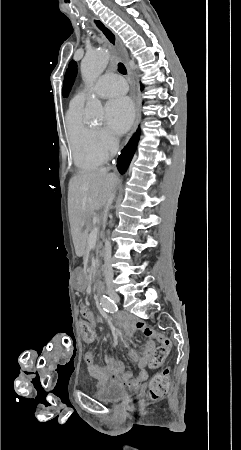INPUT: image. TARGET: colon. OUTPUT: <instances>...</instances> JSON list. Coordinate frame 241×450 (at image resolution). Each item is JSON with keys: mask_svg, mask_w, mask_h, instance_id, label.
<instances>
[{"mask_svg": "<svg viewBox=\"0 0 241 450\" xmlns=\"http://www.w3.org/2000/svg\"><path fill=\"white\" fill-rule=\"evenodd\" d=\"M97 337L98 334L93 331V326L91 324H86L79 327V340L84 342L87 347H90L93 344V340L97 339ZM168 353L169 350L167 347H159L153 357V368H159L162 360L168 355ZM169 381V370L167 368L153 377L147 388V401L155 402L162 399L168 391Z\"/></svg>", "mask_w": 241, "mask_h": 450, "instance_id": "colon-1", "label": "colon"}]
</instances>
